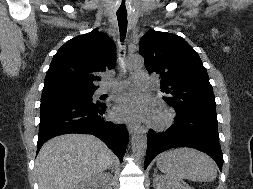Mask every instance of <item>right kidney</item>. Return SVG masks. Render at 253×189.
Segmentation results:
<instances>
[{"label":"right kidney","instance_id":"1","mask_svg":"<svg viewBox=\"0 0 253 189\" xmlns=\"http://www.w3.org/2000/svg\"><path fill=\"white\" fill-rule=\"evenodd\" d=\"M112 175L100 173L87 180L82 181L75 189H112Z\"/></svg>","mask_w":253,"mask_h":189}]
</instances>
